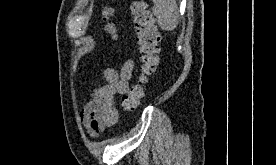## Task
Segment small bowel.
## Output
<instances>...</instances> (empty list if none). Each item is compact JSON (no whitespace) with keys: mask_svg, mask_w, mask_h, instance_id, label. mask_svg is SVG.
Returning <instances> with one entry per match:
<instances>
[{"mask_svg":"<svg viewBox=\"0 0 276 165\" xmlns=\"http://www.w3.org/2000/svg\"><path fill=\"white\" fill-rule=\"evenodd\" d=\"M134 63L124 62L120 70L109 67L104 70L105 84L98 88L91 100L82 108L80 119L92 137H96L118 120L115 97L124 95L129 88Z\"/></svg>","mask_w":276,"mask_h":165,"instance_id":"small-bowel-1","label":"small bowel"}]
</instances>
